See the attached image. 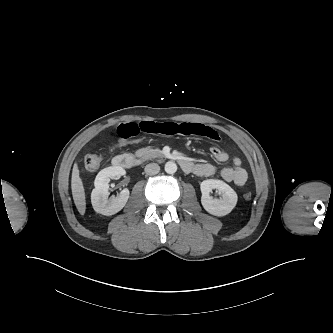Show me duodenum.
<instances>
[{
  "label": "duodenum",
  "mask_w": 333,
  "mask_h": 333,
  "mask_svg": "<svg viewBox=\"0 0 333 333\" xmlns=\"http://www.w3.org/2000/svg\"><path fill=\"white\" fill-rule=\"evenodd\" d=\"M177 160L184 172L186 173L192 172L194 164L190 160L181 157L177 158ZM138 161L139 160L136 157H134L129 153L118 155L113 160L114 165L122 168H131L135 166L138 163Z\"/></svg>",
  "instance_id": "1"
}]
</instances>
